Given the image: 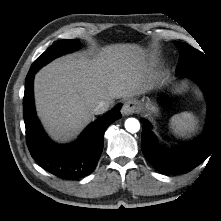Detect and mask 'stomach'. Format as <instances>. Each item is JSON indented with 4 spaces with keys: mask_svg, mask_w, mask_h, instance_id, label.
Returning a JSON list of instances; mask_svg holds the SVG:
<instances>
[{
    "mask_svg": "<svg viewBox=\"0 0 221 221\" xmlns=\"http://www.w3.org/2000/svg\"><path fill=\"white\" fill-rule=\"evenodd\" d=\"M145 108L148 110L149 114H157L158 113V107L150 102H147L145 104Z\"/></svg>",
    "mask_w": 221,
    "mask_h": 221,
    "instance_id": "1",
    "label": "stomach"
}]
</instances>
